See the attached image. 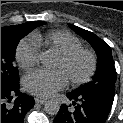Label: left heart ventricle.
<instances>
[{
    "label": "left heart ventricle",
    "instance_id": "left-heart-ventricle-1",
    "mask_svg": "<svg viewBox=\"0 0 123 123\" xmlns=\"http://www.w3.org/2000/svg\"><path fill=\"white\" fill-rule=\"evenodd\" d=\"M88 59L85 56H78L69 63H64L59 57L56 60L55 68L62 70L66 76H80L88 69Z\"/></svg>",
    "mask_w": 123,
    "mask_h": 123
}]
</instances>
